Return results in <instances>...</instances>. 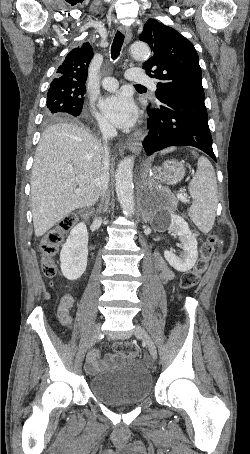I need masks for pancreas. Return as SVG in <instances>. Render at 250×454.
<instances>
[{
  "label": "pancreas",
  "mask_w": 250,
  "mask_h": 454,
  "mask_svg": "<svg viewBox=\"0 0 250 454\" xmlns=\"http://www.w3.org/2000/svg\"><path fill=\"white\" fill-rule=\"evenodd\" d=\"M169 199H170L172 208L175 209L177 206V203H178L177 199L172 194H169Z\"/></svg>",
  "instance_id": "1"
}]
</instances>
